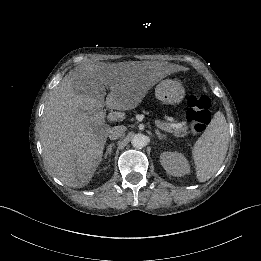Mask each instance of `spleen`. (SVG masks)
Wrapping results in <instances>:
<instances>
[{"mask_svg": "<svg viewBox=\"0 0 261 261\" xmlns=\"http://www.w3.org/2000/svg\"><path fill=\"white\" fill-rule=\"evenodd\" d=\"M228 143V124L223 113L218 111L192 151L199 182L209 180L219 170L226 157Z\"/></svg>", "mask_w": 261, "mask_h": 261, "instance_id": "1", "label": "spleen"}]
</instances>
